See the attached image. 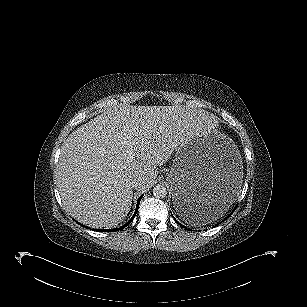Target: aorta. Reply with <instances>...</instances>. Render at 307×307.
<instances>
[{"instance_id": "obj_1", "label": "aorta", "mask_w": 307, "mask_h": 307, "mask_svg": "<svg viewBox=\"0 0 307 307\" xmlns=\"http://www.w3.org/2000/svg\"><path fill=\"white\" fill-rule=\"evenodd\" d=\"M153 195L155 198H165L167 195V189L164 185H156L153 188Z\"/></svg>"}]
</instances>
